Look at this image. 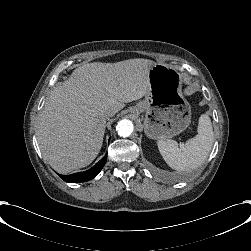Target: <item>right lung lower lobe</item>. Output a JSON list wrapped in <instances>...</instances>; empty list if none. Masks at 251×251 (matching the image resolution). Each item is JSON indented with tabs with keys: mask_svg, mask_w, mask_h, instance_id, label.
I'll return each mask as SVG.
<instances>
[{
	"mask_svg": "<svg viewBox=\"0 0 251 251\" xmlns=\"http://www.w3.org/2000/svg\"><path fill=\"white\" fill-rule=\"evenodd\" d=\"M107 160V154L98 162L96 163L91 169L74 173L71 175H59L64 181L69 183H78V182H86L93 179L97 174L101 171L103 166L105 165Z\"/></svg>",
	"mask_w": 251,
	"mask_h": 251,
	"instance_id": "98d812e1",
	"label": "right lung lower lobe"
}]
</instances>
